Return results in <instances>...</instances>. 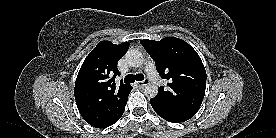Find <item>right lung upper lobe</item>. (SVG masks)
Instances as JSON below:
<instances>
[{
	"mask_svg": "<svg viewBox=\"0 0 276 138\" xmlns=\"http://www.w3.org/2000/svg\"><path fill=\"white\" fill-rule=\"evenodd\" d=\"M130 43L101 41L84 60L76 78L74 96L81 116L90 125L106 128L122 116L132 90L130 84H115L120 75L117 62Z\"/></svg>",
	"mask_w": 276,
	"mask_h": 138,
	"instance_id": "cb5924a9",
	"label": "right lung upper lobe"
}]
</instances>
